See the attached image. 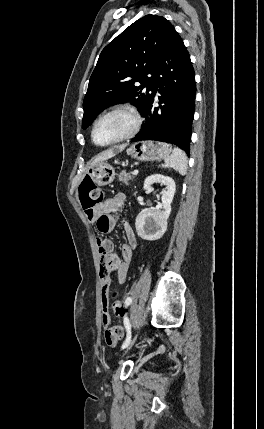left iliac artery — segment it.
I'll return each instance as SVG.
<instances>
[{"label": "left iliac artery", "instance_id": "obj_1", "mask_svg": "<svg viewBox=\"0 0 264 429\" xmlns=\"http://www.w3.org/2000/svg\"><path fill=\"white\" fill-rule=\"evenodd\" d=\"M131 302H132L131 297H128L125 301L126 305H130ZM124 326H125L126 331H127V336H126L125 341L122 344V347H121L122 349L126 348L129 345V343L131 342V324H130V321L127 317L124 318Z\"/></svg>", "mask_w": 264, "mask_h": 429}]
</instances>
